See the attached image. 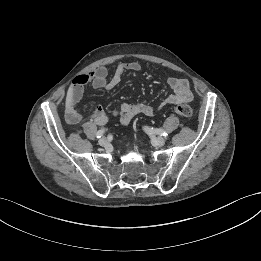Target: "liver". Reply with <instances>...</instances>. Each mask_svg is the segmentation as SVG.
I'll return each instance as SVG.
<instances>
[{"instance_id": "6515ba94", "label": "liver", "mask_w": 261, "mask_h": 261, "mask_svg": "<svg viewBox=\"0 0 261 261\" xmlns=\"http://www.w3.org/2000/svg\"><path fill=\"white\" fill-rule=\"evenodd\" d=\"M73 101V86L71 85L68 89L66 96V109L68 110L71 107Z\"/></svg>"}]
</instances>
